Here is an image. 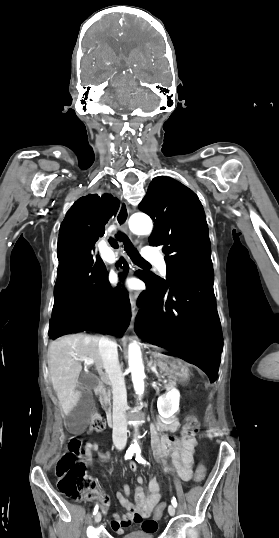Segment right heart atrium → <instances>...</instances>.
Returning a JSON list of instances; mask_svg holds the SVG:
<instances>
[{"label": "right heart atrium", "instance_id": "d8ad5b80", "mask_svg": "<svg viewBox=\"0 0 279 538\" xmlns=\"http://www.w3.org/2000/svg\"><path fill=\"white\" fill-rule=\"evenodd\" d=\"M138 235L143 236L145 235V232H139Z\"/></svg>", "mask_w": 279, "mask_h": 538}]
</instances>
